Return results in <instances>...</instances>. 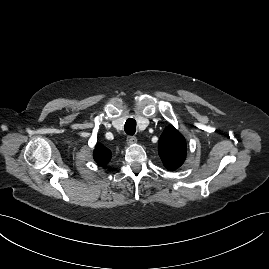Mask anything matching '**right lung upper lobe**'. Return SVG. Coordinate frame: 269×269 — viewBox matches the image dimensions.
<instances>
[{
    "label": "right lung upper lobe",
    "mask_w": 269,
    "mask_h": 269,
    "mask_svg": "<svg viewBox=\"0 0 269 269\" xmlns=\"http://www.w3.org/2000/svg\"><path fill=\"white\" fill-rule=\"evenodd\" d=\"M93 156L100 166H105L111 159V152L103 145L97 144Z\"/></svg>",
    "instance_id": "cb5924a9"
}]
</instances>
